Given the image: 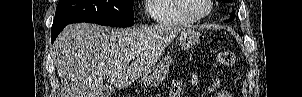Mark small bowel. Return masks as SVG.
I'll return each mask as SVG.
<instances>
[{
	"mask_svg": "<svg viewBox=\"0 0 302 97\" xmlns=\"http://www.w3.org/2000/svg\"><path fill=\"white\" fill-rule=\"evenodd\" d=\"M192 81L195 84H197L199 82L197 77H193ZM183 86H184V83H183L182 80L174 81L173 84H172L169 96L170 97H180L181 92L183 90ZM217 97H228V94L221 91V92L218 93Z\"/></svg>",
	"mask_w": 302,
	"mask_h": 97,
	"instance_id": "small-bowel-1",
	"label": "small bowel"
}]
</instances>
